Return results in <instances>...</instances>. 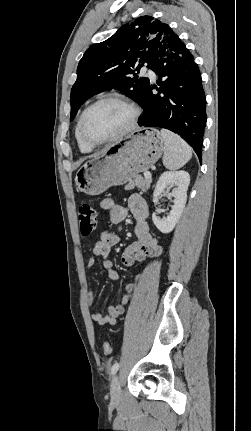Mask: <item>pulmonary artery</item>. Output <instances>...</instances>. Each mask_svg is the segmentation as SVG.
<instances>
[{"label":"pulmonary artery","instance_id":"obj_1","mask_svg":"<svg viewBox=\"0 0 251 431\" xmlns=\"http://www.w3.org/2000/svg\"><path fill=\"white\" fill-rule=\"evenodd\" d=\"M141 72H142V74L150 77L151 79H155V77H156V74L151 69H149L147 67H143Z\"/></svg>","mask_w":251,"mask_h":431}]
</instances>
